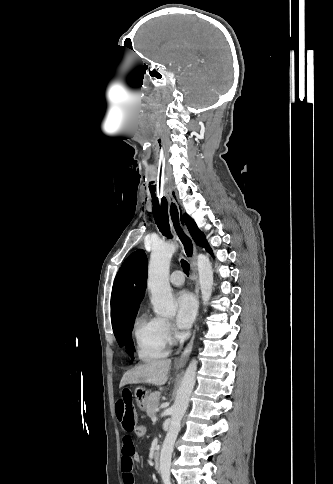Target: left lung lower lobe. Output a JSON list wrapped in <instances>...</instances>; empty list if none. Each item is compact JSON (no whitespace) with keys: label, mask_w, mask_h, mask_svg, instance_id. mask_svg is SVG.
Wrapping results in <instances>:
<instances>
[{"label":"left lung lower lobe","mask_w":333,"mask_h":484,"mask_svg":"<svg viewBox=\"0 0 333 484\" xmlns=\"http://www.w3.org/2000/svg\"><path fill=\"white\" fill-rule=\"evenodd\" d=\"M204 241H205V236H204ZM202 247L206 248L208 252L211 253V248L208 246L207 242L205 241V243L202 245Z\"/></svg>","instance_id":"1"}]
</instances>
